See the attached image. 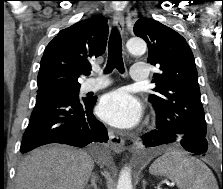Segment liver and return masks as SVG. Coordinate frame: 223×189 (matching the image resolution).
I'll use <instances>...</instances> for the list:
<instances>
[{"label": "liver", "mask_w": 223, "mask_h": 189, "mask_svg": "<svg viewBox=\"0 0 223 189\" xmlns=\"http://www.w3.org/2000/svg\"><path fill=\"white\" fill-rule=\"evenodd\" d=\"M93 168V158L83 150L44 146L21 161L15 189H84Z\"/></svg>", "instance_id": "6515ba94"}]
</instances>
